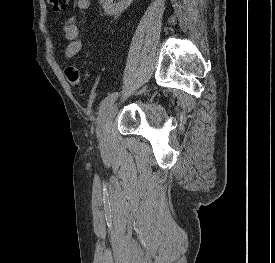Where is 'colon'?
<instances>
[{"label": "colon", "mask_w": 275, "mask_h": 263, "mask_svg": "<svg viewBox=\"0 0 275 263\" xmlns=\"http://www.w3.org/2000/svg\"><path fill=\"white\" fill-rule=\"evenodd\" d=\"M52 8L57 13H64L68 9L69 0H48ZM64 74L68 82L75 88L81 89L83 86V79L78 67L74 64L65 66Z\"/></svg>", "instance_id": "1"}]
</instances>
